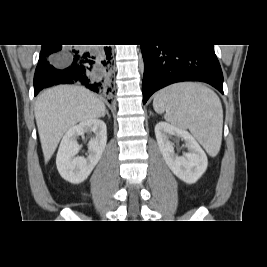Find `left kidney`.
Masks as SVG:
<instances>
[{"mask_svg":"<svg viewBox=\"0 0 267 267\" xmlns=\"http://www.w3.org/2000/svg\"><path fill=\"white\" fill-rule=\"evenodd\" d=\"M157 144L171 171L187 184L195 183L206 171L208 160L205 152L195 138L186 130L159 122L155 126ZM184 140L188 152L179 156L174 151L172 137Z\"/></svg>","mask_w":267,"mask_h":267,"instance_id":"1","label":"left kidney"}]
</instances>
